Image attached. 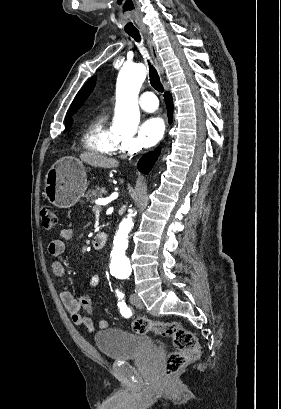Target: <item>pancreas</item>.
<instances>
[{
	"mask_svg": "<svg viewBox=\"0 0 281 409\" xmlns=\"http://www.w3.org/2000/svg\"><path fill=\"white\" fill-rule=\"evenodd\" d=\"M107 190L105 186H95V188H89L85 194L87 200H94V198H103Z\"/></svg>",
	"mask_w": 281,
	"mask_h": 409,
	"instance_id": "pancreas-1",
	"label": "pancreas"
}]
</instances>
